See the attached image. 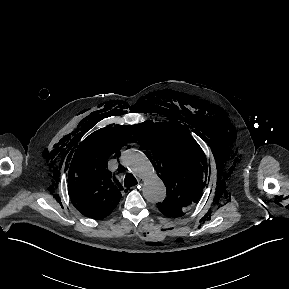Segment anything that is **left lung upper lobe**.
Here are the masks:
<instances>
[{
	"instance_id": "5c2ea615",
	"label": "left lung upper lobe",
	"mask_w": 289,
	"mask_h": 289,
	"mask_svg": "<svg viewBox=\"0 0 289 289\" xmlns=\"http://www.w3.org/2000/svg\"><path fill=\"white\" fill-rule=\"evenodd\" d=\"M142 143L167 189L159 210L184 215L198 202L207 180L205 154L193 137L181 126L171 123L139 124Z\"/></svg>"
}]
</instances>
